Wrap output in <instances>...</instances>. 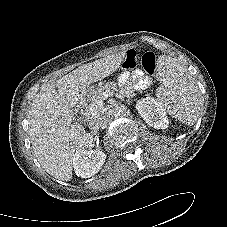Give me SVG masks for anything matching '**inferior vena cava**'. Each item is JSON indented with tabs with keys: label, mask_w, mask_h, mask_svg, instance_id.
<instances>
[{
	"label": "inferior vena cava",
	"mask_w": 227,
	"mask_h": 227,
	"mask_svg": "<svg viewBox=\"0 0 227 227\" xmlns=\"http://www.w3.org/2000/svg\"><path fill=\"white\" fill-rule=\"evenodd\" d=\"M105 123H106V115L103 111L93 114L89 120V126L94 130L104 127Z\"/></svg>",
	"instance_id": "inferior-vena-cava-1"
}]
</instances>
